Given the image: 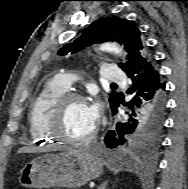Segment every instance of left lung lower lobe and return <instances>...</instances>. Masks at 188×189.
<instances>
[{
    "label": "left lung lower lobe",
    "mask_w": 188,
    "mask_h": 189,
    "mask_svg": "<svg viewBox=\"0 0 188 189\" xmlns=\"http://www.w3.org/2000/svg\"><path fill=\"white\" fill-rule=\"evenodd\" d=\"M126 74L131 83L127 93L133 95L125 105L129 119L125 123H118L115 130H110L106 134L104 142L108 148L127 145L129 136L137 128L149 129L163 123L166 108L165 84L153 60L130 68ZM120 102L121 99H118L112 107L113 114L117 112Z\"/></svg>",
    "instance_id": "1"
}]
</instances>
